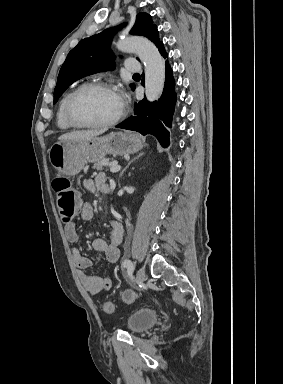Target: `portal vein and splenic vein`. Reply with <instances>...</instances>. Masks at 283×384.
<instances>
[{"mask_svg":"<svg viewBox=\"0 0 283 384\" xmlns=\"http://www.w3.org/2000/svg\"><path fill=\"white\" fill-rule=\"evenodd\" d=\"M121 166H117V164H113L112 168H110V172H113V174H115V172H119Z\"/></svg>","mask_w":283,"mask_h":384,"instance_id":"portal-vein-and-splenic-vein-1","label":"portal vein and splenic vein"}]
</instances>
